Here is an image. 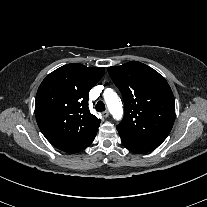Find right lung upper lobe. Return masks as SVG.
<instances>
[{
	"label": "right lung upper lobe",
	"instance_id": "cb5924a9",
	"mask_svg": "<svg viewBox=\"0 0 207 207\" xmlns=\"http://www.w3.org/2000/svg\"><path fill=\"white\" fill-rule=\"evenodd\" d=\"M104 71L71 63L50 73L39 86L36 120L45 138L60 150L71 151L97 132L100 119L89 111L88 94Z\"/></svg>",
	"mask_w": 207,
	"mask_h": 207
}]
</instances>
